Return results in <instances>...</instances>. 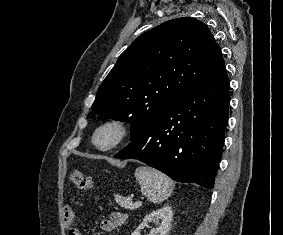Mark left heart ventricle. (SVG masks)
<instances>
[{"label": "left heart ventricle", "mask_w": 283, "mask_h": 235, "mask_svg": "<svg viewBox=\"0 0 283 235\" xmlns=\"http://www.w3.org/2000/svg\"><path fill=\"white\" fill-rule=\"evenodd\" d=\"M109 137H110V134L107 133V134H105L104 139H107V138H109Z\"/></svg>", "instance_id": "b2bd125f"}]
</instances>
